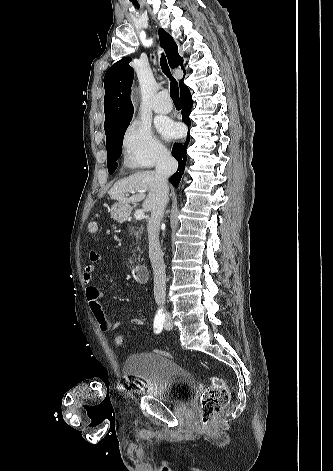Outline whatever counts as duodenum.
<instances>
[{"label": "duodenum", "mask_w": 333, "mask_h": 471, "mask_svg": "<svg viewBox=\"0 0 333 471\" xmlns=\"http://www.w3.org/2000/svg\"><path fill=\"white\" fill-rule=\"evenodd\" d=\"M132 277L138 283H146L148 280V268L145 265H136L132 268Z\"/></svg>", "instance_id": "duodenum-1"}]
</instances>
